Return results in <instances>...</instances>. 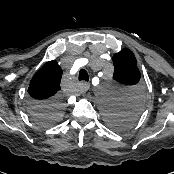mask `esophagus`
Returning <instances> with one entry per match:
<instances>
[{"instance_id": "1", "label": "esophagus", "mask_w": 174, "mask_h": 174, "mask_svg": "<svg viewBox=\"0 0 174 174\" xmlns=\"http://www.w3.org/2000/svg\"><path fill=\"white\" fill-rule=\"evenodd\" d=\"M89 88H90V83H88V82H82L81 83V90L83 92H86Z\"/></svg>"}]
</instances>
